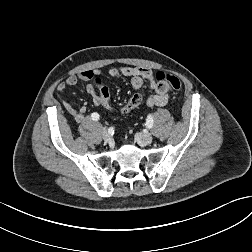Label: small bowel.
I'll use <instances>...</instances> for the list:
<instances>
[{"label": "small bowel", "mask_w": 252, "mask_h": 252, "mask_svg": "<svg viewBox=\"0 0 252 252\" xmlns=\"http://www.w3.org/2000/svg\"><path fill=\"white\" fill-rule=\"evenodd\" d=\"M97 72L93 70H85L81 71L77 75H72L65 82H61L57 86V94L61 100L63 107L69 112L74 121L76 123L83 122L85 115H86V107L81 106L79 108H75L72 104L66 101L63 98V94L67 87L75 86L79 80L87 81L88 84L86 86V93L90 98L91 102L94 105H100V96L96 92L94 85L92 84V80L96 76ZM109 75L113 78H129L130 83L133 89L139 90L144 82H147L150 89L154 91L152 95H150L147 100L146 104L148 107H161L167 104L169 99V86L164 81H158L155 78V74L153 71L146 67H117L112 68L109 70Z\"/></svg>", "instance_id": "small-bowel-1"}]
</instances>
